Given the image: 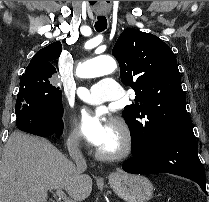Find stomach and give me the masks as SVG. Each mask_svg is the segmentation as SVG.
Returning <instances> with one entry per match:
<instances>
[{
  "mask_svg": "<svg viewBox=\"0 0 209 202\" xmlns=\"http://www.w3.org/2000/svg\"><path fill=\"white\" fill-rule=\"evenodd\" d=\"M114 192L126 202H147L153 195V185L144 176L116 173L109 178Z\"/></svg>",
  "mask_w": 209,
  "mask_h": 202,
  "instance_id": "0dacf381",
  "label": "stomach"
}]
</instances>
